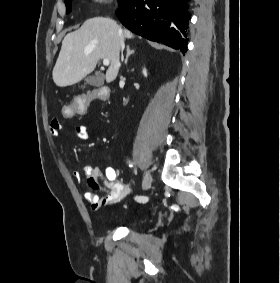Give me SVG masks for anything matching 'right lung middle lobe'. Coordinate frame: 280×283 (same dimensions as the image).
Returning <instances> with one entry per match:
<instances>
[{
	"label": "right lung middle lobe",
	"instance_id": "1",
	"mask_svg": "<svg viewBox=\"0 0 280 283\" xmlns=\"http://www.w3.org/2000/svg\"><path fill=\"white\" fill-rule=\"evenodd\" d=\"M126 0H118L119 6H121ZM65 4H66V14L71 12V4H72V0H65Z\"/></svg>",
	"mask_w": 280,
	"mask_h": 283
}]
</instances>
